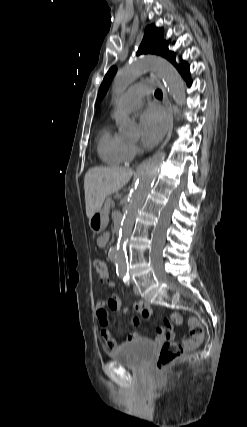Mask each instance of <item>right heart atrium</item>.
I'll return each instance as SVG.
<instances>
[{"instance_id":"1","label":"right heart atrium","mask_w":247,"mask_h":427,"mask_svg":"<svg viewBox=\"0 0 247 427\" xmlns=\"http://www.w3.org/2000/svg\"><path fill=\"white\" fill-rule=\"evenodd\" d=\"M138 151V148L135 144L131 143L130 144V152L132 155L136 154V152Z\"/></svg>"}]
</instances>
